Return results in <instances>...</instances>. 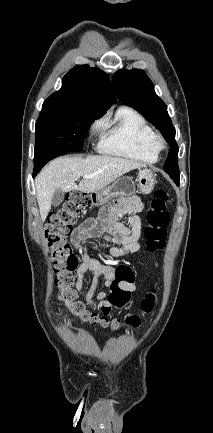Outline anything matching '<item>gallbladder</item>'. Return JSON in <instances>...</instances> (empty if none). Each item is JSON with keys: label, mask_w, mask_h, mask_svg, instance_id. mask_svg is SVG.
<instances>
[{"label": "gallbladder", "mask_w": 213, "mask_h": 433, "mask_svg": "<svg viewBox=\"0 0 213 433\" xmlns=\"http://www.w3.org/2000/svg\"><path fill=\"white\" fill-rule=\"evenodd\" d=\"M64 196H65V193L61 189H57L52 196L51 204L54 207L59 206L63 202Z\"/></svg>", "instance_id": "bac80fb5"}]
</instances>
